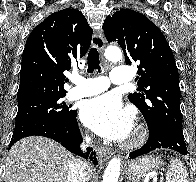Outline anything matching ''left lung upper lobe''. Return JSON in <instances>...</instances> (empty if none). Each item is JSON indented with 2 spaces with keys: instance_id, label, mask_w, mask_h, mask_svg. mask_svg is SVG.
<instances>
[{
  "instance_id": "5c2ea615",
  "label": "left lung upper lobe",
  "mask_w": 196,
  "mask_h": 182,
  "mask_svg": "<svg viewBox=\"0 0 196 182\" xmlns=\"http://www.w3.org/2000/svg\"><path fill=\"white\" fill-rule=\"evenodd\" d=\"M107 41H117L129 65L137 63L138 91L128 98L144 116L148 129L159 125L182 131L179 75L161 30L143 14L121 9L103 24Z\"/></svg>"
}]
</instances>
